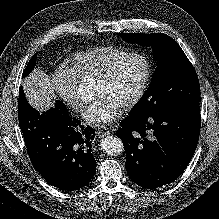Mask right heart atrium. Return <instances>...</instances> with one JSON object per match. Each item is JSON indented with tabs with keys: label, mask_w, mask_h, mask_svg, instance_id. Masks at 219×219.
<instances>
[{
	"label": "right heart atrium",
	"mask_w": 219,
	"mask_h": 219,
	"mask_svg": "<svg viewBox=\"0 0 219 219\" xmlns=\"http://www.w3.org/2000/svg\"><path fill=\"white\" fill-rule=\"evenodd\" d=\"M52 87L58 96L73 110L84 111L86 100L78 90V77L71 69L60 68L52 77Z\"/></svg>",
	"instance_id": "obj_1"
}]
</instances>
